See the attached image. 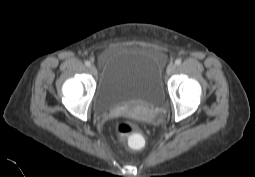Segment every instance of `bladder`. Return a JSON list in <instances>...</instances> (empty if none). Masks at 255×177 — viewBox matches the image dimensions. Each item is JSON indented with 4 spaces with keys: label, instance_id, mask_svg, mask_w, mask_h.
Instances as JSON below:
<instances>
[{
    "label": "bladder",
    "instance_id": "bladder-1",
    "mask_svg": "<svg viewBox=\"0 0 255 177\" xmlns=\"http://www.w3.org/2000/svg\"><path fill=\"white\" fill-rule=\"evenodd\" d=\"M164 99L158 59L150 50H134L119 54L106 65L94 105L98 113H104L121 106L156 107Z\"/></svg>",
    "mask_w": 255,
    "mask_h": 177
}]
</instances>
